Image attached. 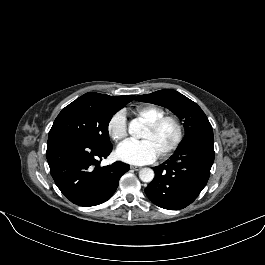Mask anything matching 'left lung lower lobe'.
<instances>
[{
  "label": "left lung lower lobe",
  "instance_id": "obj_1",
  "mask_svg": "<svg viewBox=\"0 0 265 265\" xmlns=\"http://www.w3.org/2000/svg\"><path fill=\"white\" fill-rule=\"evenodd\" d=\"M213 130H201L182 141L174 154L153 168L155 177L146 187L157 206L179 210L191 204L206 186L214 162Z\"/></svg>",
  "mask_w": 265,
  "mask_h": 265
}]
</instances>
